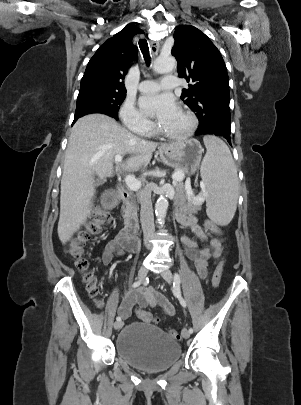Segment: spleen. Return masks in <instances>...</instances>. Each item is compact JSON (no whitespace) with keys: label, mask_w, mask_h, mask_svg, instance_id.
<instances>
[{"label":"spleen","mask_w":301,"mask_h":405,"mask_svg":"<svg viewBox=\"0 0 301 405\" xmlns=\"http://www.w3.org/2000/svg\"><path fill=\"white\" fill-rule=\"evenodd\" d=\"M206 154L201 164V177L207 186V214L219 225L231 222L236 212L239 181L228 146L216 136L203 138Z\"/></svg>","instance_id":"obj_1"}]
</instances>
